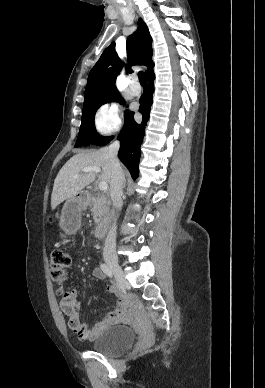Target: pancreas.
<instances>
[{"mask_svg":"<svg viewBox=\"0 0 265 388\" xmlns=\"http://www.w3.org/2000/svg\"><path fill=\"white\" fill-rule=\"evenodd\" d=\"M93 202L94 204L91 208L93 220H95L96 224H99L100 220H102L103 216L109 210V202L105 198H93Z\"/></svg>","mask_w":265,"mask_h":388,"instance_id":"pancreas-1","label":"pancreas"}]
</instances>
